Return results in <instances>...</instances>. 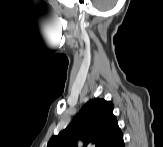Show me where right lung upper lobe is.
Returning a JSON list of instances; mask_svg holds the SVG:
<instances>
[{
    "mask_svg": "<svg viewBox=\"0 0 163 147\" xmlns=\"http://www.w3.org/2000/svg\"><path fill=\"white\" fill-rule=\"evenodd\" d=\"M121 136L113 105L96 98L87 102L72 123L49 140L47 147H76L78 139L83 140L84 147H111Z\"/></svg>",
    "mask_w": 163,
    "mask_h": 147,
    "instance_id": "right-lung-upper-lobe-1",
    "label": "right lung upper lobe"
}]
</instances>
